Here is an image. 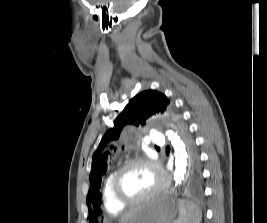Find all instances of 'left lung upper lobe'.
I'll list each match as a JSON object with an SVG mask.
<instances>
[{
    "label": "left lung upper lobe",
    "instance_id": "obj_1",
    "mask_svg": "<svg viewBox=\"0 0 267 223\" xmlns=\"http://www.w3.org/2000/svg\"><path fill=\"white\" fill-rule=\"evenodd\" d=\"M159 113L165 114L177 121L187 148L188 170L201 171L199 156L196 152L194 141L188 136L187 128L175 111L173 102L156 90L143 91L133 97L126 105L125 109L114 121V126L110 128L102 138L98 150L93 154L92 171L89 176L91 189L86 199V203L89 207V214H92L91 222L93 221V223H95V217L98 214H106L105 206H100V187L102 176L107 171V166L113 154V150H105L104 147L110 141L119 138L120 132L124 126L132 124L136 127H143L148 118Z\"/></svg>",
    "mask_w": 267,
    "mask_h": 223
}]
</instances>
